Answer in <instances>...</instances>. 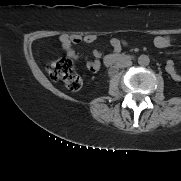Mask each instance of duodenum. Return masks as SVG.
Segmentation results:
<instances>
[{
	"label": "duodenum",
	"mask_w": 181,
	"mask_h": 181,
	"mask_svg": "<svg viewBox=\"0 0 181 181\" xmlns=\"http://www.w3.org/2000/svg\"><path fill=\"white\" fill-rule=\"evenodd\" d=\"M129 59V56H125V55H114V56H109L106 59V63L108 65H117V64H121L124 63L125 61H127Z\"/></svg>",
	"instance_id": "obj_1"
}]
</instances>
